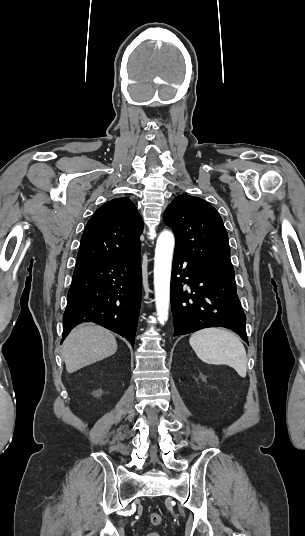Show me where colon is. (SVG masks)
<instances>
[{
	"label": "colon",
	"instance_id": "colon-1",
	"mask_svg": "<svg viewBox=\"0 0 305 536\" xmlns=\"http://www.w3.org/2000/svg\"><path fill=\"white\" fill-rule=\"evenodd\" d=\"M150 522L154 525H160L162 523V515L159 513H155V512L151 513ZM148 536H157V535L154 533H150L148 534Z\"/></svg>",
	"mask_w": 305,
	"mask_h": 536
}]
</instances>
